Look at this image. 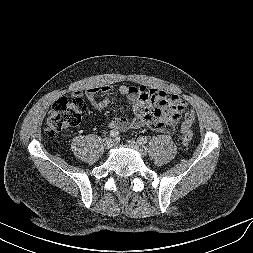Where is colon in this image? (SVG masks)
Instances as JSON below:
<instances>
[{
	"instance_id": "1",
	"label": "colon",
	"mask_w": 253,
	"mask_h": 253,
	"mask_svg": "<svg viewBox=\"0 0 253 253\" xmlns=\"http://www.w3.org/2000/svg\"><path fill=\"white\" fill-rule=\"evenodd\" d=\"M84 110L85 103L80 97L59 98L50 109L44 126L45 134L49 137H56L60 133L72 129L80 122ZM191 140L192 133L186 131L182 136V142L189 144Z\"/></svg>"
}]
</instances>
